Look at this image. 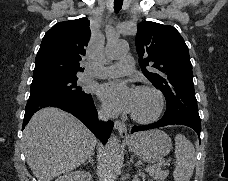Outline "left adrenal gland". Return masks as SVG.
Wrapping results in <instances>:
<instances>
[{
	"label": "left adrenal gland",
	"mask_w": 228,
	"mask_h": 181,
	"mask_svg": "<svg viewBox=\"0 0 228 181\" xmlns=\"http://www.w3.org/2000/svg\"><path fill=\"white\" fill-rule=\"evenodd\" d=\"M128 165H135V167H138V165H136V163H134L133 155H131Z\"/></svg>",
	"instance_id": "left-adrenal-gland-1"
}]
</instances>
